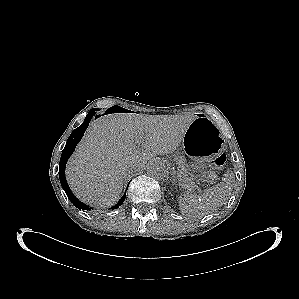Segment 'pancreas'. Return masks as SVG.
<instances>
[{
    "mask_svg": "<svg viewBox=\"0 0 299 299\" xmlns=\"http://www.w3.org/2000/svg\"><path fill=\"white\" fill-rule=\"evenodd\" d=\"M188 168H187V164L185 162V159L183 157L179 158V177L181 178V180L184 183H189V179H188Z\"/></svg>",
    "mask_w": 299,
    "mask_h": 299,
    "instance_id": "pancreas-1",
    "label": "pancreas"
}]
</instances>
